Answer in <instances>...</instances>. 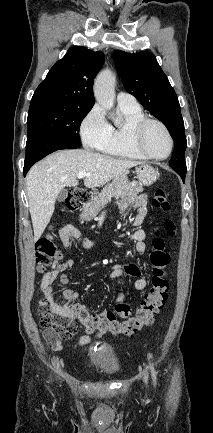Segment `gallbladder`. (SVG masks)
Returning a JSON list of instances; mask_svg holds the SVG:
<instances>
[{"mask_svg":"<svg viewBox=\"0 0 213 433\" xmlns=\"http://www.w3.org/2000/svg\"><path fill=\"white\" fill-rule=\"evenodd\" d=\"M67 195H68V191L67 190H62L59 194H58V196H57V200L58 201H64L66 198H67Z\"/></svg>","mask_w":213,"mask_h":433,"instance_id":"gallbladder-1","label":"gallbladder"}]
</instances>
